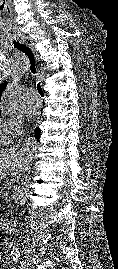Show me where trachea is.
Instances as JSON below:
<instances>
[{
  "label": "trachea",
  "instance_id": "3493384b",
  "mask_svg": "<svg viewBox=\"0 0 118 269\" xmlns=\"http://www.w3.org/2000/svg\"><path fill=\"white\" fill-rule=\"evenodd\" d=\"M13 45L15 48L27 55L30 61V70L33 74H36V60L32 50L27 45L19 43L17 41H13ZM37 90L40 95H44V90L42 89L40 82L37 84Z\"/></svg>",
  "mask_w": 118,
  "mask_h": 269
}]
</instances>
